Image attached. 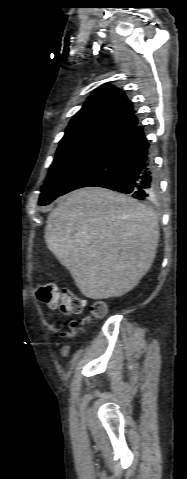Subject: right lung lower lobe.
Here are the masks:
<instances>
[{
    "mask_svg": "<svg viewBox=\"0 0 187 479\" xmlns=\"http://www.w3.org/2000/svg\"><path fill=\"white\" fill-rule=\"evenodd\" d=\"M103 187L154 200L159 180L142 126L136 125L105 153L84 168L59 196L82 187Z\"/></svg>",
    "mask_w": 187,
    "mask_h": 479,
    "instance_id": "right-lung-lower-lobe-1",
    "label": "right lung lower lobe"
}]
</instances>
